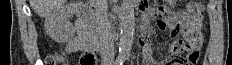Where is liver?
Masks as SVG:
<instances>
[{
    "mask_svg": "<svg viewBox=\"0 0 232 65\" xmlns=\"http://www.w3.org/2000/svg\"><path fill=\"white\" fill-rule=\"evenodd\" d=\"M29 2L33 11L37 15L46 17L52 13V11L64 4L66 0H29Z\"/></svg>",
    "mask_w": 232,
    "mask_h": 65,
    "instance_id": "1",
    "label": "liver"
}]
</instances>
